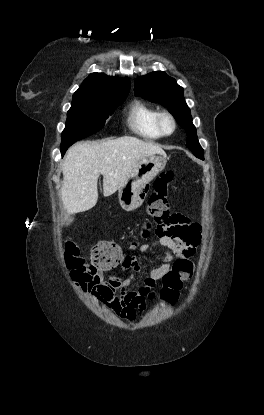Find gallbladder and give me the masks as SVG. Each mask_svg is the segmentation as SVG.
<instances>
[{"label": "gallbladder", "instance_id": "gallbladder-1", "mask_svg": "<svg viewBox=\"0 0 264 415\" xmlns=\"http://www.w3.org/2000/svg\"><path fill=\"white\" fill-rule=\"evenodd\" d=\"M72 221H73V217H72V216H69V217L67 218V223H68V224H70Z\"/></svg>", "mask_w": 264, "mask_h": 415}]
</instances>
